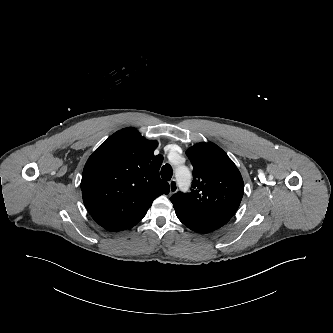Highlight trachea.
<instances>
[{
	"label": "trachea",
	"mask_w": 333,
	"mask_h": 333,
	"mask_svg": "<svg viewBox=\"0 0 333 333\" xmlns=\"http://www.w3.org/2000/svg\"><path fill=\"white\" fill-rule=\"evenodd\" d=\"M172 174H173V171L169 164H166L165 166L162 167L161 177L164 180L169 181L172 178Z\"/></svg>",
	"instance_id": "obj_1"
}]
</instances>
